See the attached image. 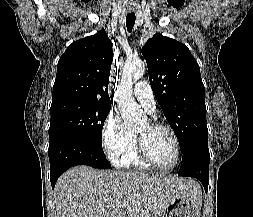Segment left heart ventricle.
<instances>
[{"instance_id": "obj_1", "label": "left heart ventricle", "mask_w": 253, "mask_h": 217, "mask_svg": "<svg viewBox=\"0 0 253 217\" xmlns=\"http://www.w3.org/2000/svg\"><path fill=\"white\" fill-rule=\"evenodd\" d=\"M136 133L142 137L145 149L155 164L168 167L173 163L175 147L168 131L152 128L149 122H146L137 129Z\"/></svg>"}]
</instances>
